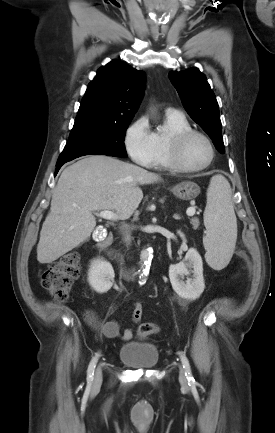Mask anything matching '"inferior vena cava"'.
Segmentation results:
<instances>
[{"label":"inferior vena cava","mask_w":275,"mask_h":433,"mask_svg":"<svg viewBox=\"0 0 275 433\" xmlns=\"http://www.w3.org/2000/svg\"><path fill=\"white\" fill-rule=\"evenodd\" d=\"M123 234H124V240L126 242L130 243V241H131V235H130L129 228L127 226L125 228H123Z\"/></svg>","instance_id":"obj_1"}]
</instances>
